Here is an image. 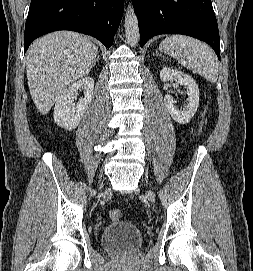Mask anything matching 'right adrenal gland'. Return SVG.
I'll return each instance as SVG.
<instances>
[{
  "label": "right adrenal gland",
  "instance_id": "obj_1",
  "mask_svg": "<svg viewBox=\"0 0 253 271\" xmlns=\"http://www.w3.org/2000/svg\"><path fill=\"white\" fill-rule=\"evenodd\" d=\"M98 60H99V55L97 56L96 62H98Z\"/></svg>",
  "mask_w": 253,
  "mask_h": 271
}]
</instances>
